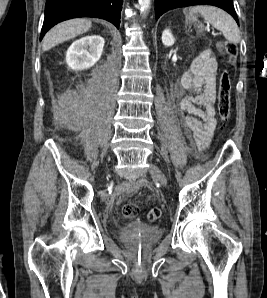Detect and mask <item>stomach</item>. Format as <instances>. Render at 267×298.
Segmentation results:
<instances>
[{"label": "stomach", "mask_w": 267, "mask_h": 298, "mask_svg": "<svg viewBox=\"0 0 267 298\" xmlns=\"http://www.w3.org/2000/svg\"><path fill=\"white\" fill-rule=\"evenodd\" d=\"M184 15L186 19V23H194L198 21L197 14L191 13L189 9H184Z\"/></svg>", "instance_id": "obj_1"}]
</instances>
